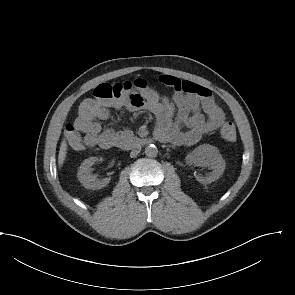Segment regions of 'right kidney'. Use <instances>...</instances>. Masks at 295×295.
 Listing matches in <instances>:
<instances>
[{"label":"right kidney","mask_w":295,"mask_h":295,"mask_svg":"<svg viewBox=\"0 0 295 295\" xmlns=\"http://www.w3.org/2000/svg\"><path fill=\"white\" fill-rule=\"evenodd\" d=\"M98 161L97 157H90L85 159L78 170V180L87 189L98 190L107 186L110 178L99 180L91 173V167Z\"/></svg>","instance_id":"ca27d5eb"}]
</instances>
